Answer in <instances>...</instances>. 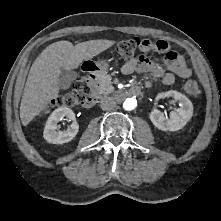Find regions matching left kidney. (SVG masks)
<instances>
[{"instance_id":"1","label":"left kidney","mask_w":221,"mask_h":221,"mask_svg":"<svg viewBox=\"0 0 221 221\" xmlns=\"http://www.w3.org/2000/svg\"><path fill=\"white\" fill-rule=\"evenodd\" d=\"M167 94L179 101L180 108L171 111L169 119H166L160 111L154 109L150 113V120L159 130L178 131L191 119L193 115V105L192 102L180 92L169 91ZM158 97L160 96L158 95Z\"/></svg>"}]
</instances>
